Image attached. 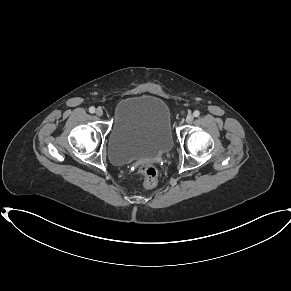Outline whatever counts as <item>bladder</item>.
Masks as SVG:
<instances>
[{
	"instance_id": "1",
	"label": "bladder",
	"mask_w": 291,
	"mask_h": 291,
	"mask_svg": "<svg viewBox=\"0 0 291 291\" xmlns=\"http://www.w3.org/2000/svg\"><path fill=\"white\" fill-rule=\"evenodd\" d=\"M173 145L168 103L152 94L123 98L115 107L108 135V157L114 165L168 152Z\"/></svg>"
}]
</instances>
